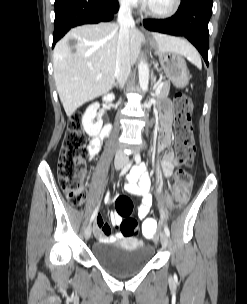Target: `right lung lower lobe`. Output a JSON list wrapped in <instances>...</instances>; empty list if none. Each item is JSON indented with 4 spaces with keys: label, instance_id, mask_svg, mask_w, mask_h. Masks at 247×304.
Listing matches in <instances>:
<instances>
[{
    "label": "right lung lower lobe",
    "instance_id": "right-lung-lower-lobe-1",
    "mask_svg": "<svg viewBox=\"0 0 247 304\" xmlns=\"http://www.w3.org/2000/svg\"><path fill=\"white\" fill-rule=\"evenodd\" d=\"M119 9L118 0H55L53 45L72 27L110 21Z\"/></svg>",
    "mask_w": 247,
    "mask_h": 304
}]
</instances>
